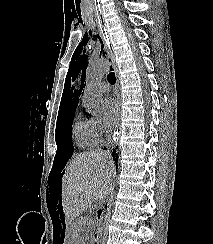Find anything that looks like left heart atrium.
Here are the masks:
<instances>
[{
  "label": "left heart atrium",
  "mask_w": 213,
  "mask_h": 244,
  "mask_svg": "<svg viewBox=\"0 0 213 244\" xmlns=\"http://www.w3.org/2000/svg\"><path fill=\"white\" fill-rule=\"evenodd\" d=\"M102 110L106 126L109 129L113 128L117 123L119 114L118 99L116 97H107L102 103Z\"/></svg>",
  "instance_id": "obj_1"
}]
</instances>
